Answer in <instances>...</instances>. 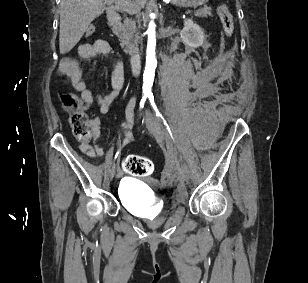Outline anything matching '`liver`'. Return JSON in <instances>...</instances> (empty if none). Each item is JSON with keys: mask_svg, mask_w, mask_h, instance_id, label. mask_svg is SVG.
<instances>
[{"mask_svg": "<svg viewBox=\"0 0 308 283\" xmlns=\"http://www.w3.org/2000/svg\"><path fill=\"white\" fill-rule=\"evenodd\" d=\"M145 2L146 0H61L60 53H68L80 41L90 23L104 11L107 14L126 11L130 3L143 7Z\"/></svg>", "mask_w": 308, "mask_h": 283, "instance_id": "1", "label": "liver"}]
</instances>
